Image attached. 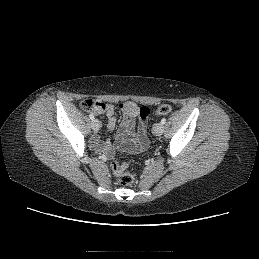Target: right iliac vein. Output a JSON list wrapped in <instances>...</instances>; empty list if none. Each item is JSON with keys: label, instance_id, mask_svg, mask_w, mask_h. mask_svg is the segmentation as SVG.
<instances>
[{"label": "right iliac vein", "instance_id": "63e3f726", "mask_svg": "<svg viewBox=\"0 0 259 259\" xmlns=\"http://www.w3.org/2000/svg\"><path fill=\"white\" fill-rule=\"evenodd\" d=\"M91 127H92V129H93L94 131L99 130V128H100V123H99V121L96 120V119L92 120Z\"/></svg>", "mask_w": 259, "mask_h": 259}]
</instances>
